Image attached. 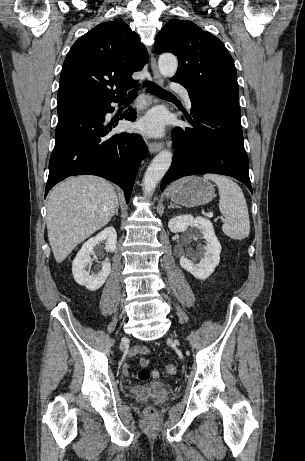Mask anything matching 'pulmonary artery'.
Instances as JSON below:
<instances>
[{
  "label": "pulmonary artery",
  "mask_w": 305,
  "mask_h": 461,
  "mask_svg": "<svg viewBox=\"0 0 305 461\" xmlns=\"http://www.w3.org/2000/svg\"><path fill=\"white\" fill-rule=\"evenodd\" d=\"M173 89L181 95V97L184 100L186 106L188 108H191V100H190V96H189L188 91L185 88L181 87V86H176Z\"/></svg>",
  "instance_id": "e3ab8cb5"
}]
</instances>
